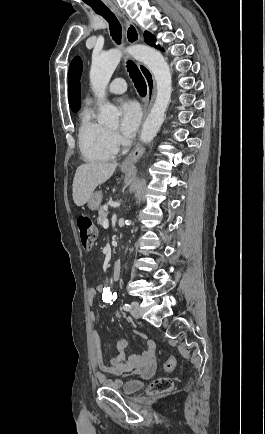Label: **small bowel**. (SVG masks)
Segmentation results:
<instances>
[{"mask_svg": "<svg viewBox=\"0 0 265 434\" xmlns=\"http://www.w3.org/2000/svg\"><path fill=\"white\" fill-rule=\"evenodd\" d=\"M106 288L102 284H97L95 287H90L87 290V299L90 304L95 301L98 293H104ZM124 315L120 310L116 311V317L122 318ZM94 312L91 313V319H95ZM137 336L146 341L145 350L139 355L126 356L125 350L128 347L126 339L120 338L116 344V355L112 356L108 361L105 360L100 337L97 331L92 334V340L95 348L94 362L99 372V377H104L105 387H119L121 380L119 378H110L107 373L115 375H124L128 371L136 368V373L143 379L151 378L156 370V352L155 343L148 339L143 333H137Z\"/></svg>", "mask_w": 265, "mask_h": 434, "instance_id": "small-bowel-1", "label": "small bowel"}]
</instances>
